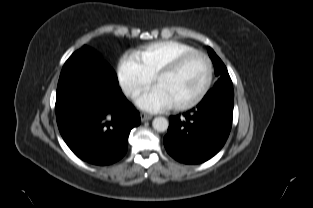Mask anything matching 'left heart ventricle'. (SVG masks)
Returning a JSON list of instances; mask_svg holds the SVG:
<instances>
[{"label": "left heart ventricle", "instance_id": "obj_1", "mask_svg": "<svg viewBox=\"0 0 313 208\" xmlns=\"http://www.w3.org/2000/svg\"><path fill=\"white\" fill-rule=\"evenodd\" d=\"M207 78L204 58L196 56L187 61L178 71L162 77L157 85L170 98L173 105L186 103L195 98Z\"/></svg>", "mask_w": 313, "mask_h": 208}]
</instances>
